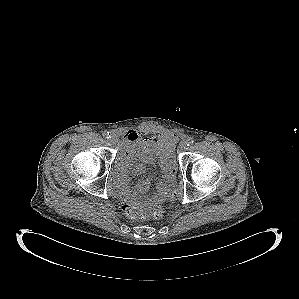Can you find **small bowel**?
Returning a JSON list of instances; mask_svg holds the SVG:
<instances>
[{
    "label": "small bowel",
    "mask_w": 299,
    "mask_h": 299,
    "mask_svg": "<svg viewBox=\"0 0 299 299\" xmlns=\"http://www.w3.org/2000/svg\"><path fill=\"white\" fill-rule=\"evenodd\" d=\"M126 148L121 158L120 191L126 199H134L137 192H145L150 187V179L140 180L135 190L128 186L127 172L132 168L136 175L144 173L147 165L153 164L155 158L164 172L163 179L157 184L156 191L152 197L153 202H161L166 197L170 187L173 185L176 174V160L173 155L159 154L155 145L163 139L173 143L175 137L171 135L146 136L135 131H128L124 135Z\"/></svg>",
    "instance_id": "small-bowel-1"
}]
</instances>
